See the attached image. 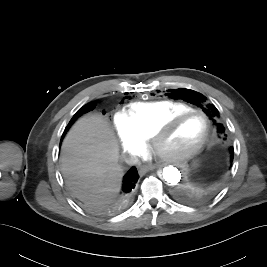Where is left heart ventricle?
Returning <instances> with one entry per match:
<instances>
[{"mask_svg": "<svg viewBox=\"0 0 267 267\" xmlns=\"http://www.w3.org/2000/svg\"><path fill=\"white\" fill-rule=\"evenodd\" d=\"M205 121L202 116L193 114L177 123L162 139L160 151L172 153L192 147L204 135Z\"/></svg>", "mask_w": 267, "mask_h": 267, "instance_id": "obj_1", "label": "left heart ventricle"}]
</instances>
